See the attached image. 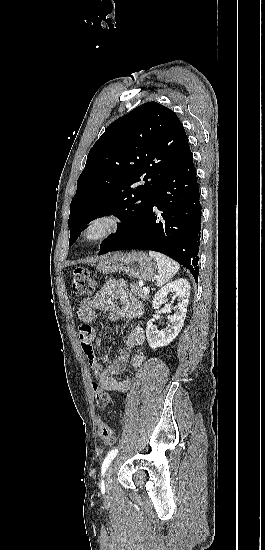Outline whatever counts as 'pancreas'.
<instances>
[{
    "instance_id": "pancreas-1",
    "label": "pancreas",
    "mask_w": 265,
    "mask_h": 550,
    "mask_svg": "<svg viewBox=\"0 0 265 550\" xmlns=\"http://www.w3.org/2000/svg\"><path fill=\"white\" fill-rule=\"evenodd\" d=\"M132 293H134L139 299L141 300H148L149 295L145 294L143 291V288L140 287L138 284H131L130 285Z\"/></svg>"
}]
</instances>
